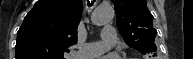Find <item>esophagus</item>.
<instances>
[{
  "instance_id": "1",
  "label": "esophagus",
  "mask_w": 193,
  "mask_h": 59,
  "mask_svg": "<svg viewBox=\"0 0 193 59\" xmlns=\"http://www.w3.org/2000/svg\"><path fill=\"white\" fill-rule=\"evenodd\" d=\"M90 3H93V1H90ZM94 3H96V1H94Z\"/></svg>"
}]
</instances>
